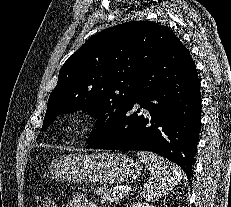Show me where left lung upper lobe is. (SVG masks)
Returning <instances> with one entry per match:
<instances>
[{"label":"left lung upper lobe","mask_w":231,"mask_h":207,"mask_svg":"<svg viewBox=\"0 0 231 207\" xmlns=\"http://www.w3.org/2000/svg\"><path fill=\"white\" fill-rule=\"evenodd\" d=\"M176 39L169 28L151 21L123 23L88 39L60 69L42 130L63 113L83 110L97 119L89 145L111 135L139 94L141 74Z\"/></svg>","instance_id":"left-lung-upper-lobe-1"}]
</instances>
